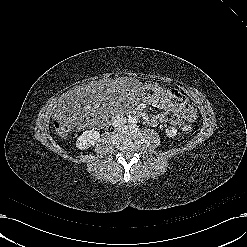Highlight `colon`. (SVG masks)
<instances>
[{
  "label": "colon",
  "mask_w": 247,
  "mask_h": 247,
  "mask_svg": "<svg viewBox=\"0 0 247 247\" xmlns=\"http://www.w3.org/2000/svg\"><path fill=\"white\" fill-rule=\"evenodd\" d=\"M147 94L155 101H160L165 96V91L162 86L158 84H152L147 89ZM70 114L63 115L62 119L54 122V129L59 136H66L69 132L67 120L70 118ZM192 130V124H187L183 127V132L188 133Z\"/></svg>",
  "instance_id": "5ec220e1"
}]
</instances>
